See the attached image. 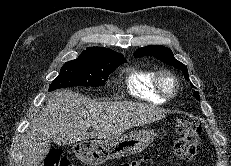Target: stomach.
Instances as JSON below:
<instances>
[{"label":"stomach","mask_w":231,"mask_h":166,"mask_svg":"<svg viewBox=\"0 0 231 166\" xmlns=\"http://www.w3.org/2000/svg\"><path fill=\"white\" fill-rule=\"evenodd\" d=\"M155 138L153 130L132 131L115 139H91L75 142L73 153L83 163L97 166L107 160L134 155L146 149Z\"/></svg>","instance_id":"1"}]
</instances>
